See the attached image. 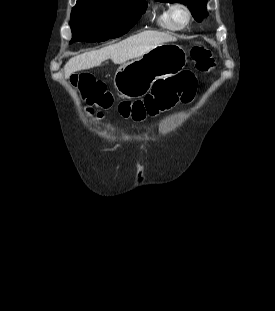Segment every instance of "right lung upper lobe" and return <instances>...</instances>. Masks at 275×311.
<instances>
[{
  "instance_id": "right-lung-upper-lobe-1",
  "label": "right lung upper lobe",
  "mask_w": 275,
  "mask_h": 311,
  "mask_svg": "<svg viewBox=\"0 0 275 311\" xmlns=\"http://www.w3.org/2000/svg\"><path fill=\"white\" fill-rule=\"evenodd\" d=\"M86 1H91V0H77L78 3L86 2Z\"/></svg>"
}]
</instances>
